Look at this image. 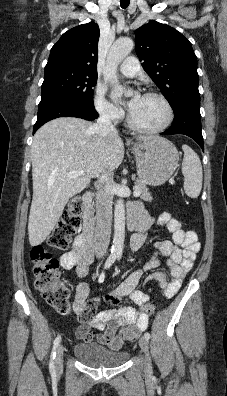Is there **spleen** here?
I'll list each match as a JSON object with an SVG mask.
<instances>
[{"instance_id":"spleen-1","label":"spleen","mask_w":227,"mask_h":396,"mask_svg":"<svg viewBox=\"0 0 227 396\" xmlns=\"http://www.w3.org/2000/svg\"><path fill=\"white\" fill-rule=\"evenodd\" d=\"M184 157L182 173L184 175V190L191 198H197L202 188V166L197 153L188 145H183Z\"/></svg>"}]
</instances>
